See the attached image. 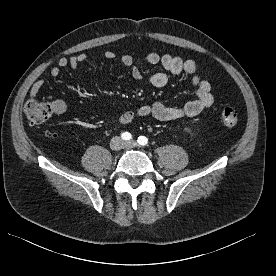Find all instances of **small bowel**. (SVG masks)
<instances>
[{
    "label": "small bowel",
    "mask_w": 276,
    "mask_h": 276,
    "mask_svg": "<svg viewBox=\"0 0 276 276\" xmlns=\"http://www.w3.org/2000/svg\"><path fill=\"white\" fill-rule=\"evenodd\" d=\"M116 54L107 50L104 52V58L107 60H113ZM144 61L151 64H160L166 72H155L148 77L149 83L157 88L165 86L170 75L186 74L191 78V82L196 90V98L187 102L182 107H169L162 103H154L151 105L142 106L136 110H130L124 112L119 117V122L127 124L132 120L144 116H153L161 121H173L185 116H195L204 109L210 107L213 104L214 98L211 92L210 83L201 78L198 74L197 64L194 60L183 59L179 56L172 55H160L158 53H148L144 56ZM88 60V56L85 53L72 55L70 57L59 58L57 65L51 67L50 75L52 77H58L61 69L71 67L73 70L78 68ZM120 62L125 67L131 68V76L135 80H143L144 75L142 71L134 65V58L131 55H123L120 58ZM44 86V80L38 79L33 83L30 89L31 97L39 95ZM55 114H63L67 109V104L63 100H55L52 103Z\"/></svg>",
    "instance_id": "obj_1"
}]
</instances>
